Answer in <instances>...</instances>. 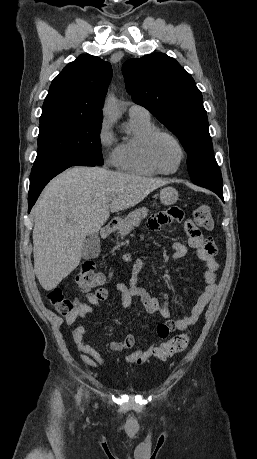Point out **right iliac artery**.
<instances>
[{"mask_svg": "<svg viewBox=\"0 0 257 459\" xmlns=\"http://www.w3.org/2000/svg\"><path fill=\"white\" fill-rule=\"evenodd\" d=\"M80 394H81V391H79V393H78V397H77L78 398V402L80 400Z\"/></svg>", "mask_w": 257, "mask_h": 459, "instance_id": "obj_1", "label": "right iliac artery"}]
</instances>
